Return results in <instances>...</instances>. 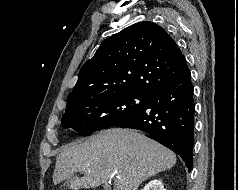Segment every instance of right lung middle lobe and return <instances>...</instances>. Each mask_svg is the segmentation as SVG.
Returning <instances> with one entry per match:
<instances>
[{"mask_svg": "<svg viewBox=\"0 0 238 190\" xmlns=\"http://www.w3.org/2000/svg\"><path fill=\"white\" fill-rule=\"evenodd\" d=\"M148 99L134 93L83 96L66 109L62 125L86 136L112 127L136 113L146 105Z\"/></svg>", "mask_w": 238, "mask_h": 190, "instance_id": "right-lung-middle-lobe-1", "label": "right lung middle lobe"}]
</instances>
